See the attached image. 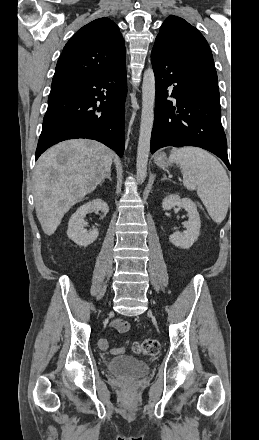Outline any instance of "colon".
<instances>
[{
  "instance_id": "1",
  "label": "colon",
  "mask_w": 259,
  "mask_h": 440,
  "mask_svg": "<svg viewBox=\"0 0 259 440\" xmlns=\"http://www.w3.org/2000/svg\"><path fill=\"white\" fill-rule=\"evenodd\" d=\"M132 349L137 354L154 356L160 350V344L156 339H146L142 342H134Z\"/></svg>"
}]
</instances>
